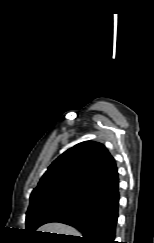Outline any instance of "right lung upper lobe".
Listing matches in <instances>:
<instances>
[{
	"label": "right lung upper lobe",
	"mask_w": 154,
	"mask_h": 243,
	"mask_svg": "<svg viewBox=\"0 0 154 243\" xmlns=\"http://www.w3.org/2000/svg\"><path fill=\"white\" fill-rule=\"evenodd\" d=\"M115 161L100 143L85 141L60 155L48 168L30 199L66 196L88 201L118 183Z\"/></svg>",
	"instance_id": "cb5924a9"
}]
</instances>
